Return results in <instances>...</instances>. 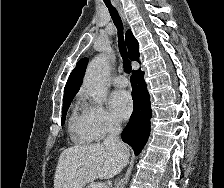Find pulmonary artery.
<instances>
[{
    "mask_svg": "<svg viewBox=\"0 0 224 188\" xmlns=\"http://www.w3.org/2000/svg\"><path fill=\"white\" fill-rule=\"evenodd\" d=\"M116 87L123 88L128 85V79L124 75L116 76L113 80Z\"/></svg>",
    "mask_w": 224,
    "mask_h": 188,
    "instance_id": "1",
    "label": "pulmonary artery"
}]
</instances>
